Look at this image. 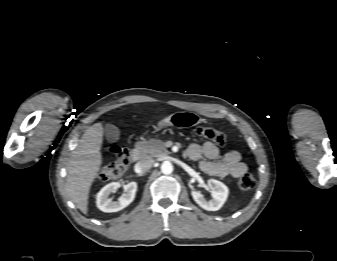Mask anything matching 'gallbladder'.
I'll return each instance as SVG.
<instances>
[{
    "instance_id": "bac80fb5",
    "label": "gallbladder",
    "mask_w": 337,
    "mask_h": 261,
    "mask_svg": "<svg viewBox=\"0 0 337 261\" xmlns=\"http://www.w3.org/2000/svg\"><path fill=\"white\" fill-rule=\"evenodd\" d=\"M104 130H105V137L109 143H114L118 141L120 131L116 126L112 124H107Z\"/></svg>"
}]
</instances>
